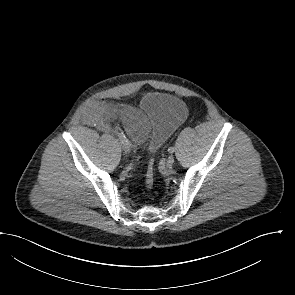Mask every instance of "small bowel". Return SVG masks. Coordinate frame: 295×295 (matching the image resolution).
Here are the masks:
<instances>
[{
    "instance_id": "obj_1",
    "label": "small bowel",
    "mask_w": 295,
    "mask_h": 295,
    "mask_svg": "<svg viewBox=\"0 0 295 295\" xmlns=\"http://www.w3.org/2000/svg\"><path fill=\"white\" fill-rule=\"evenodd\" d=\"M85 119L103 131L111 129V123L120 119L124 130L136 143H142L148 134L149 122L145 114L135 108L117 107L107 104L92 106L85 114Z\"/></svg>"
}]
</instances>
